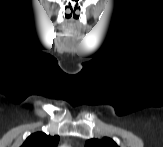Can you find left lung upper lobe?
I'll list each match as a JSON object with an SVG mask.
<instances>
[{"mask_svg": "<svg viewBox=\"0 0 163 147\" xmlns=\"http://www.w3.org/2000/svg\"><path fill=\"white\" fill-rule=\"evenodd\" d=\"M86 147H118L117 144L110 138L104 137L101 140L90 139L86 142Z\"/></svg>", "mask_w": 163, "mask_h": 147, "instance_id": "1", "label": "left lung upper lobe"}]
</instances>
